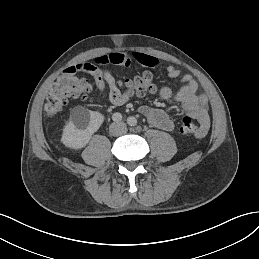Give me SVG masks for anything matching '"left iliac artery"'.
<instances>
[{"label":"left iliac artery","mask_w":259,"mask_h":259,"mask_svg":"<svg viewBox=\"0 0 259 259\" xmlns=\"http://www.w3.org/2000/svg\"><path fill=\"white\" fill-rule=\"evenodd\" d=\"M127 123H128L130 126H136V125H137V119H136L135 117H133V116L128 117Z\"/></svg>","instance_id":"1"}]
</instances>
